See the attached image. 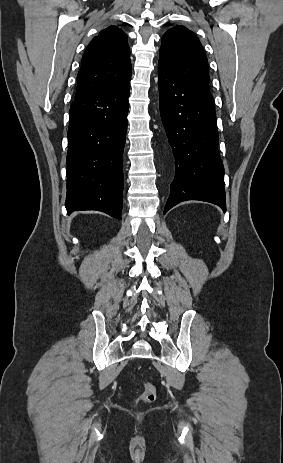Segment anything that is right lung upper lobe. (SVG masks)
Returning <instances> with one entry per match:
<instances>
[{
    "instance_id": "obj_1",
    "label": "right lung upper lobe",
    "mask_w": 283,
    "mask_h": 463,
    "mask_svg": "<svg viewBox=\"0 0 283 463\" xmlns=\"http://www.w3.org/2000/svg\"><path fill=\"white\" fill-rule=\"evenodd\" d=\"M127 35L117 26H109L88 45L77 76L75 98L122 83L131 76Z\"/></svg>"
}]
</instances>
